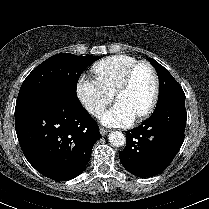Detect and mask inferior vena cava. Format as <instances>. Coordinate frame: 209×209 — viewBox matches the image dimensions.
Masks as SVG:
<instances>
[{
    "label": "inferior vena cava",
    "mask_w": 209,
    "mask_h": 209,
    "mask_svg": "<svg viewBox=\"0 0 209 209\" xmlns=\"http://www.w3.org/2000/svg\"><path fill=\"white\" fill-rule=\"evenodd\" d=\"M88 111L92 115L99 116L104 111V107L101 105H90Z\"/></svg>",
    "instance_id": "obj_1"
}]
</instances>
